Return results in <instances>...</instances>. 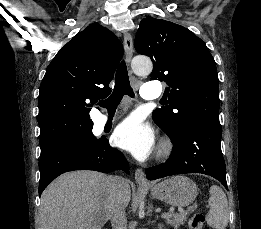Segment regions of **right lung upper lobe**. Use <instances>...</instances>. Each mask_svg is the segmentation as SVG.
Returning a JSON list of instances; mask_svg holds the SVG:
<instances>
[{
    "mask_svg": "<svg viewBox=\"0 0 261 229\" xmlns=\"http://www.w3.org/2000/svg\"><path fill=\"white\" fill-rule=\"evenodd\" d=\"M122 55L121 42L98 23L59 50L40 85L41 148L61 146L92 131L88 107L111 92L108 85Z\"/></svg>",
    "mask_w": 261,
    "mask_h": 229,
    "instance_id": "obj_1",
    "label": "right lung upper lobe"
}]
</instances>
